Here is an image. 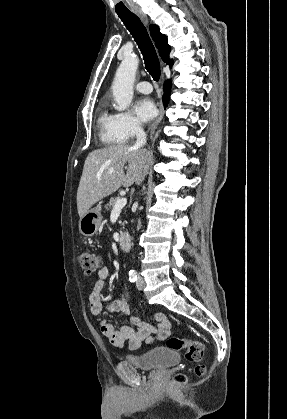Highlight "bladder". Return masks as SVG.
<instances>
[{"instance_id": "1", "label": "bladder", "mask_w": 287, "mask_h": 419, "mask_svg": "<svg viewBox=\"0 0 287 419\" xmlns=\"http://www.w3.org/2000/svg\"><path fill=\"white\" fill-rule=\"evenodd\" d=\"M127 360L140 369L164 370L176 365L180 358L170 348L156 347L140 355H130Z\"/></svg>"}]
</instances>
